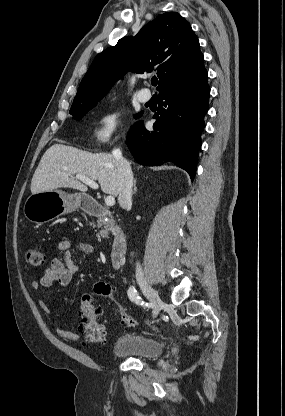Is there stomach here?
<instances>
[{
    "instance_id": "obj_1",
    "label": "stomach",
    "mask_w": 285,
    "mask_h": 416,
    "mask_svg": "<svg viewBox=\"0 0 285 416\" xmlns=\"http://www.w3.org/2000/svg\"><path fill=\"white\" fill-rule=\"evenodd\" d=\"M81 194H66L62 190L39 192L27 198L23 212L25 218L34 224H46L59 216L71 214L82 204Z\"/></svg>"
}]
</instances>
